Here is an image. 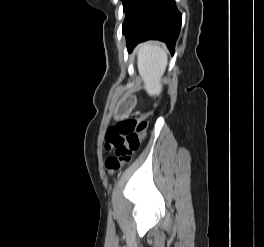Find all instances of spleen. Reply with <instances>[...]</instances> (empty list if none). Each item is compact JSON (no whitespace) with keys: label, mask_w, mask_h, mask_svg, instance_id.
Returning <instances> with one entry per match:
<instances>
[{"label":"spleen","mask_w":264,"mask_h":247,"mask_svg":"<svg viewBox=\"0 0 264 247\" xmlns=\"http://www.w3.org/2000/svg\"><path fill=\"white\" fill-rule=\"evenodd\" d=\"M167 66V55L158 44H144L138 48V71L145 89L151 96L162 90L161 78Z\"/></svg>","instance_id":"3e777b00"}]
</instances>
